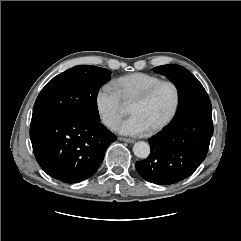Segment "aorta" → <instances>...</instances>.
<instances>
[{
    "instance_id": "762f6f07",
    "label": "aorta",
    "mask_w": 241,
    "mask_h": 241,
    "mask_svg": "<svg viewBox=\"0 0 241 241\" xmlns=\"http://www.w3.org/2000/svg\"><path fill=\"white\" fill-rule=\"evenodd\" d=\"M133 152L136 157L145 159L150 154V146L144 141L136 142L133 146Z\"/></svg>"
}]
</instances>
